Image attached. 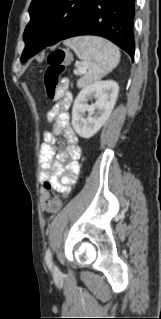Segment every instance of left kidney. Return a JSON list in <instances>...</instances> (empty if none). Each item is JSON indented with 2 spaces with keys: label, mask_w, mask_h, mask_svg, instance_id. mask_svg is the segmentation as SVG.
Wrapping results in <instances>:
<instances>
[{
  "label": "left kidney",
  "mask_w": 161,
  "mask_h": 319,
  "mask_svg": "<svg viewBox=\"0 0 161 319\" xmlns=\"http://www.w3.org/2000/svg\"><path fill=\"white\" fill-rule=\"evenodd\" d=\"M118 92V84L107 80L95 82L78 94L72 109V125L79 136L87 139L100 130L114 108ZM89 98H95V103L88 105Z\"/></svg>",
  "instance_id": "left-kidney-1"
}]
</instances>
